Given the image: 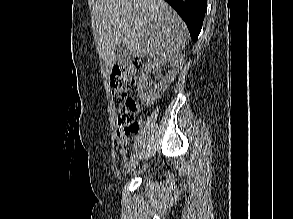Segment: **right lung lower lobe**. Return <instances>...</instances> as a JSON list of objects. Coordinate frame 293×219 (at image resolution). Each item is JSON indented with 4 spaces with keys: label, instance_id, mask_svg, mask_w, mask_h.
Returning a JSON list of instances; mask_svg holds the SVG:
<instances>
[{
    "label": "right lung lower lobe",
    "instance_id": "right-lung-lower-lobe-1",
    "mask_svg": "<svg viewBox=\"0 0 293 219\" xmlns=\"http://www.w3.org/2000/svg\"><path fill=\"white\" fill-rule=\"evenodd\" d=\"M185 21L192 40L196 41L202 28L207 0H165Z\"/></svg>",
    "mask_w": 293,
    "mask_h": 219
}]
</instances>
